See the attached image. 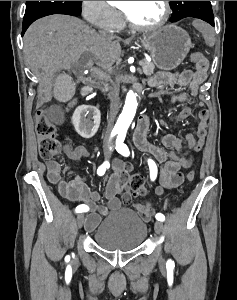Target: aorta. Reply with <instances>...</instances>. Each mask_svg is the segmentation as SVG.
Masks as SVG:
<instances>
[{"label": "aorta", "instance_id": "obj_1", "mask_svg": "<svg viewBox=\"0 0 237 300\" xmlns=\"http://www.w3.org/2000/svg\"><path fill=\"white\" fill-rule=\"evenodd\" d=\"M137 107L138 103L136 95H134L133 91H129V93H127L123 111L117 121V127H119V129H126L127 131L135 117Z\"/></svg>", "mask_w": 237, "mask_h": 300}]
</instances>
